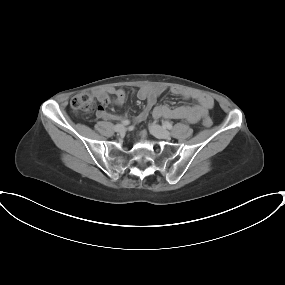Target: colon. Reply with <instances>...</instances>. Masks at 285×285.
<instances>
[{
	"label": "colon",
	"mask_w": 285,
	"mask_h": 285,
	"mask_svg": "<svg viewBox=\"0 0 285 285\" xmlns=\"http://www.w3.org/2000/svg\"><path fill=\"white\" fill-rule=\"evenodd\" d=\"M95 95L92 91H85L81 94L76 95L71 100V108L75 113H89L95 109ZM202 124L205 127H210L213 121L209 117H205L202 120Z\"/></svg>",
	"instance_id": "1"
}]
</instances>
